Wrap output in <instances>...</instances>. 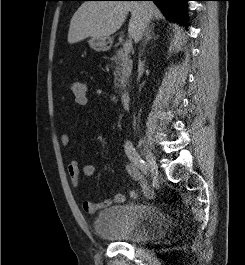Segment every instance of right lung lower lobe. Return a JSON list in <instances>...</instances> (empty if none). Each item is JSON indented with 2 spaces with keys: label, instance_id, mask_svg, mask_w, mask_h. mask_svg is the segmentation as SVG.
<instances>
[{
  "label": "right lung lower lobe",
  "instance_id": "98d812e1",
  "mask_svg": "<svg viewBox=\"0 0 245 265\" xmlns=\"http://www.w3.org/2000/svg\"><path fill=\"white\" fill-rule=\"evenodd\" d=\"M121 1H146V0H121ZM153 1L170 21L183 24L187 23L186 2L189 0H147Z\"/></svg>",
  "mask_w": 245,
  "mask_h": 265
}]
</instances>
